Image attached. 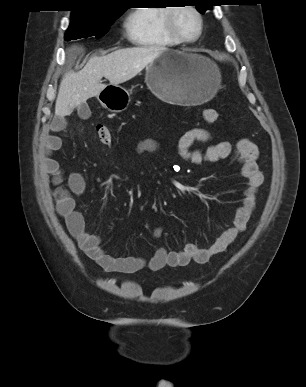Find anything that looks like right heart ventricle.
Segmentation results:
<instances>
[{
    "label": "right heart ventricle",
    "mask_w": 306,
    "mask_h": 387,
    "mask_svg": "<svg viewBox=\"0 0 306 387\" xmlns=\"http://www.w3.org/2000/svg\"><path fill=\"white\" fill-rule=\"evenodd\" d=\"M169 7L148 6L131 11L124 22L128 40L136 46L167 48L179 44L167 32L165 17Z\"/></svg>",
    "instance_id": "obj_1"
}]
</instances>
